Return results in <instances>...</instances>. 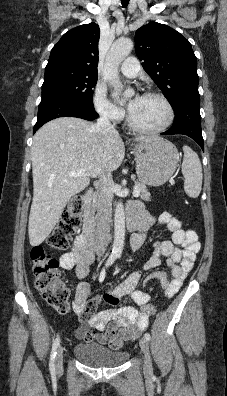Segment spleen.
I'll return each mask as SVG.
<instances>
[{
  "instance_id": "3e777b00",
  "label": "spleen",
  "mask_w": 227,
  "mask_h": 396,
  "mask_svg": "<svg viewBox=\"0 0 227 396\" xmlns=\"http://www.w3.org/2000/svg\"><path fill=\"white\" fill-rule=\"evenodd\" d=\"M184 159L182 174L184 175V190L189 197L199 196L202 188V166L198 155L189 147L183 146Z\"/></svg>"
}]
</instances>
